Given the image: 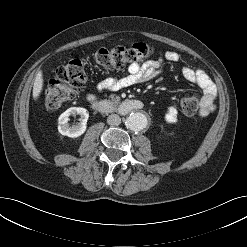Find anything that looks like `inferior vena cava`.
I'll return each mask as SVG.
<instances>
[{
	"mask_svg": "<svg viewBox=\"0 0 247 247\" xmlns=\"http://www.w3.org/2000/svg\"><path fill=\"white\" fill-rule=\"evenodd\" d=\"M107 123L112 126H118L121 123V118L117 114H111L107 118Z\"/></svg>",
	"mask_w": 247,
	"mask_h": 247,
	"instance_id": "602c4592",
	"label": "inferior vena cava"
}]
</instances>
